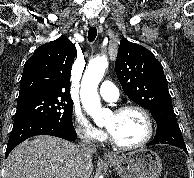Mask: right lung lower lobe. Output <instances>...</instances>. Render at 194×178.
Returning a JSON list of instances; mask_svg holds the SVG:
<instances>
[{
    "mask_svg": "<svg viewBox=\"0 0 194 178\" xmlns=\"http://www.w3.org/2000/svg\"><path fill=\"white\" fill-rule=\"evenodd\" d=\"M36 135H52L69 141L76 139L73 124H56L43 119H25L15 121L11 131L5 157L14 147L29 137Z\"/></svg>",
    "mask_w": 194,
    "mask_h": 178,
    "instance_id": "obj_1",
    "label": "right lung lower lobe"
}]
</instances>
